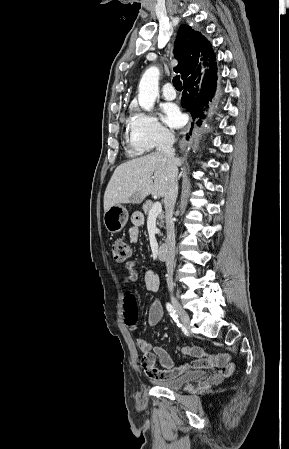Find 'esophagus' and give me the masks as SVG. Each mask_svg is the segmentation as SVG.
Returning <instances> with one entry per match:
<instances>
[{"instance_id": "esophagus-1", "label": "esophagus", "mask_w": 289, "mask_h": 449, "mask_svg": "<svg viewBox=\"0 0 289 449\" xmlns=\"http://www.w3.org/2000/svg\"><path fill=\"white\" fill-rule=\"evenodd\" d=\"M188 129H189V126H187L186 131H188ZM185 144H186L185 140L182 139L179 144L180 149H183L185 147Z\"/></svg>"}]
</instances>
